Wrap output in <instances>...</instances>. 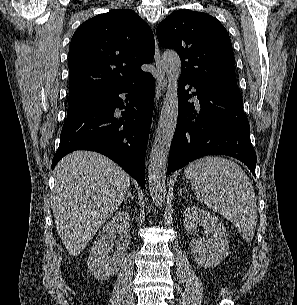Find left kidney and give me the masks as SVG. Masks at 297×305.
I'll return each mask as SVG.
<instances>
[{"label":"left kidney","mask_w":297,"mask_h":305,"mask_svg":"<svg viewBox=\"0 0 297 305\" xmlns=\"http://www.w3.org/2000/svg\"><path fill=\"white\" fill-rule=\"evenodd\" d=\"M183 223L185 230L191 235L196 234L200 224L209 234L203 241L196 238L191 241V253L199 266L215 267L228 256L227 232L215 215L202 208L190 206L184 211Z\"/></svg>","instance_id":"obj_1"}]
</instances>
